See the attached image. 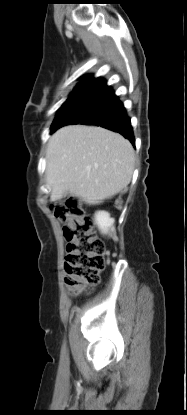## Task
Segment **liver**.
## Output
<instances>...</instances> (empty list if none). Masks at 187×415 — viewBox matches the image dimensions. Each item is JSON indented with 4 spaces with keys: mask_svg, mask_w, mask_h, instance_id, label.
Here are the masks:
<instances>
[{
    "mask_svg": "<svg viewBox=\"0 0 187 415\" xmlns=\"http://www.w3.org/2000/svg\"><path fill=\"white\" fill-rule=\"evenodd\" d=\"M46 179L50 200L72 195L98 204L123 191L134 171L131 143L102 127L69 125L49 139Z\"/></svg>",
    "mask_w": 187,
    "mask_h": 415,
    "instance_id": "liver-1",
    "label": "liver"
}]
</instances>
